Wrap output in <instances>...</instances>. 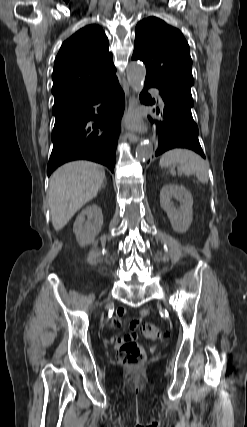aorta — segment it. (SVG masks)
Wrapping results in <instances>:
<instances>
[{"label":"aorta","mask_w":247,"mask_h":427,"mask_svg":"<svg viewBox=\"0 0 247 427\" xmlns=\"http://www.w3.org/2000/svg\"><path fill=\"white\" fill-rule=\"evenodd\" d=\"M146 75V69L142 64L131 63L127 68V80L130 86L140 91L143 88L144 80ZM154 153L153 144L150 142L141 143L136 148V159L139 161H145L152 157Z\"/></svg>","instance_id":"aorta-1"}]
</instances>
